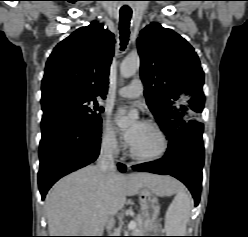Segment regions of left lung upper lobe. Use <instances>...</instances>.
<instances>
[{"label": "left lung upper lobe", "mask_w": 248, "mask_h": 237, "mask_svg": "<svg viewBox=\"0 0 248 237\" xmlns=\"http://www.w3.org/2000/svg\"><path fill=\"white\" fill-rule=\"evenodd\" d=\"M137 45L146 102L170 139L182 125L198 121L193 117L205 104L204 72L193 47L158 23L140 32Z\"/></svg>", "instance_id": "left-lung-upper-lobe-1"}]
</instances>
